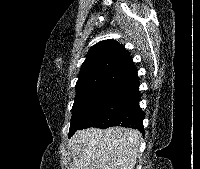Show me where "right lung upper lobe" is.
Listing matches in <instances>:
<instances>
[{
	"label": "right lung upper lobe",
	"mask_w": 200,
	"mask_h": 169,
	"mask_svg": "<svg viewBox=\"0 0 200 169\" xmlns=\"http://www.w3.org/2000/svg\"><path fill=\"white\" fill-rule=\"evenodd\" d=\"M137 76L128 51L114 40H103L92 47L82 64L76 91L103 84H120Z\"/></svg>",
	"instance_id": "cb5924a9"
}]
</instances>
